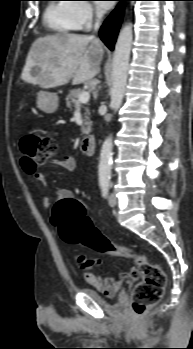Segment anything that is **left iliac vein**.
Listing matches in <instances>:
<instances>
[{"label": "left iliac vein", "instance_id": "left-iliac-vein-1", "mask_svg": "<svg viewBox=\"0 0 193 349\" xmlns=\"http://www.w3.org/2000/svg\"><path fill=\"white\" fill-rule=\"evenodd\" d=\"M108 202H109V205L112 206V207L116 205L117 200H116L115 194H110L109 195Z\"/></svg>", "mask_w": 193, "mask_h": 349}]
</instances>
